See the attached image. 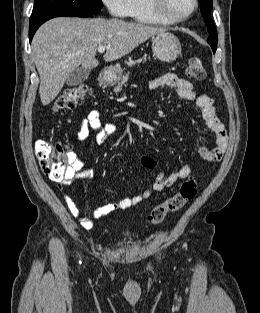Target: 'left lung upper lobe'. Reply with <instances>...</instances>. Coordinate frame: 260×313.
Instances as JSON below:
<instances>
[{"label":"left lung upper lobe","instance_id":"obj_1","mask_svg":"<svg viewBox=\"0 0 260 313\" xmlns=\"http://www.w3.org/2000/svg\"><path fill=\"white\" fill-rule=\"evenodd\" d=\"M201 4V13L205 19V23L207 25L210 36L208 38V43L210 44L213 53H215L217 48L218 36L215 29L214 22L210 16V11L212 9L213 3L212 0H199Z\"/></svg>","mask_w":260,"mask_h":313}]
</instances>
